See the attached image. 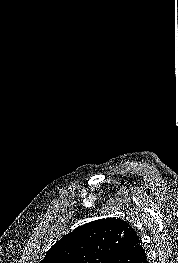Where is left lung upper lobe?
<instances>
[{"label": "left lung upper lobe", "instance_id": "1", "mask_svg": "<svg viewBox=\"0 0 178 263\" xmlns=\"http://www.w3.org/2000/svg\"><path fill=\"white\" fill-rule=\"evenodd\" d=\"M131 229L117 218L87 223L56 242L40 263H109Z\"/></svg>", "mask_w": 178, "mask_h": 263}]
</instances>
